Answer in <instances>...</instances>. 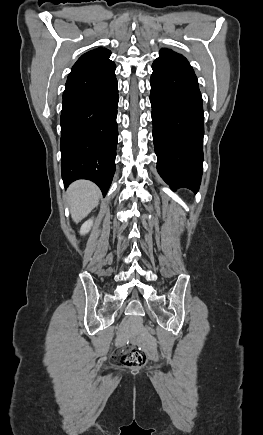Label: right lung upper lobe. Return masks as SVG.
I'll return each mask as SVG.
<instances>
[{"label":"right lung upper lobe","mask_w":263,"mask_h":435,"mask_svg":"<svg viewBox=\"0 0 263 435\" xmlns=\"http://www.w3.org/2000/svg\"><path fill=\"white\" fill-rule=\"evenodd\" d=\"M110 54L111 52L105 48H98L83 54L74 64L68 77L100 69L113 63L109 59Z\"/></svg>","instance_id":"cb5924a9"}]
</instances>
